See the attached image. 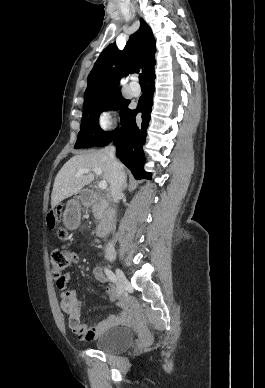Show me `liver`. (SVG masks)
Here are the masks:
<instances>
[{
	"label": "liver",
	"instance_id": "6515ba94",
	"mask_svg": "<svg viewBox=\"0 0 265 388\" xmlns=\"http://www.w3.org/2000/svg\"><path fill=\"white\" fill-rule=\"evenodd\" d=\"M108 148L105 150H98V152H91V154H79V156H73L69 162L64 164L60 172H58L52 194H51V206L55 208L62 200L78 194L84 186H88L94 180V174H87V176H76L78 170L83 168H101L103 182H111L112 168L107 154ZM124 172L123 164H120Z\"/></svg>",
	"mask_w": 265,
	"mask_h": 388
}]
</instances>
